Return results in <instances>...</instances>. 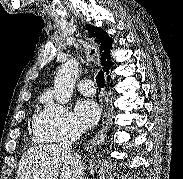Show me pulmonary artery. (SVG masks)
Segmentation results:
<instances>
[{"label":"pulmonary artery","mask_w":183,"mask_h":179,"mask_svg":"<svg viewBox=\"0 0 183 179\" xmlns=\"http://www.w3.org/2000/svg\"><path fill=\"white\" fill-rule=\"evenodd\" d=\"M78 89L86 96H92L95 94L94 83L91 79H81L78 82Z\"/></svg>","instance_id":"1"}]
</instances>
